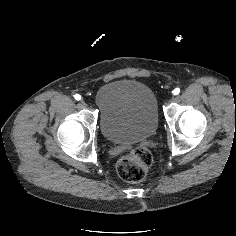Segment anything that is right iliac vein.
I'll use <instances>...</instances> for the list:
<instances>
[{
	"mask_svg": "<svg viewBox=\"0 0 236 236\" xmlns=\"http://www.w3.org/2000/svg\"><path fill=\"white\" fill-rule=\"evenodd\" d=\"M80 103H81V105H83V106H86V105H87L84 100H81ZM88 108L90 109L91 107L89 106Z\"/></svg>",
	"mask_w": 236,
	"mask_h": 236,
	"instance_id": "63e3f726",
	"label": "right iliac vein"
}]
</instances>
